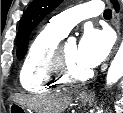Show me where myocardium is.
Here are the masks:
<instances>
[{"label": "myocardium", "mask_w": 123, "mask_h": 113, "mask_svg": "<svg viewBox=\"0 0 123 113\" xmlns=\"http://www.w3.org/2000/svg\"><path fill=\"white\" fill-rule=\"evenodd\" d=\"M64 47H65L64 43L58 44L55 50V54L51 64L52 72L56 76H58L65 84L85 82L88 79H90L93 75V72L91 70H88L86 73L82 75H78V74H75L70 69L66 61Z\"/></svg>", "instance_id": "myocardium-1"}]
</instances>
